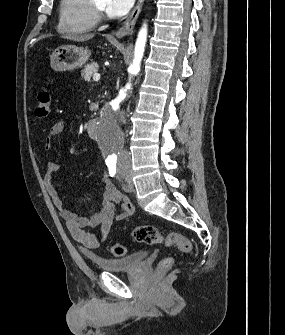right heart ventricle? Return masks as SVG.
<instances>
[{"instance_id": "e07e8e85", "label": "right heart ventricle", "mask_w": 285, "mask_h": 335, "mask_svg": "<svg viewBox=\"0 0 285 335\" xmlns=\"http://www.w3.org/2000/svg\"><path fill=\"white\" fill-rule=\"evenodd\" d=\"M95 1H62L58 31L64 36L79 38L97 24Z\"/></svg>"}]
</instances>
